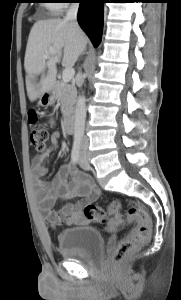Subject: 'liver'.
<instances>
[{"instance_id":"1","label":"liver","mask_w":181,"mask_h":300,"mask_svg":"<svg viewBox=\"0 0 181 300\" xmlns=\"http://www.w3.org/2000/svg\"><path fill=\"white\" fill-rule=\"evenodd\" d=\"M87 44V38L77 23L61 19H48L37 21L31 28L24 67L26 75V88L30 101H35L44 92L51 90L56 81V65L62 55V65L72 68ZM50 49L56 53L48 59L44 55ZM47 69V74L45 71ZM41 76L39 83L36 77Z\"/></svg>"}]
</instances>
